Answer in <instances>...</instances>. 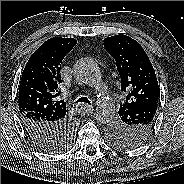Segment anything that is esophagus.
Instances as JSON below:
<instances>
[{"mask_svg": "<svg viewBox=\"0 0 184 184\" xmlns=\"http://www.w3.org/2000/svg\"><path fill=\"white\" fill-rule=\"evenodd\" d=\"M77 107H78L79 112H81L83 114H85V113L89 114V113H92L94 111L93 106L86 105V104L85 105L84 104L77 105Z\"/></svg>", "mask_w": 184, "mask_h": 184, "instance_id": "1", "label": "esophagus"}]
</instances>
